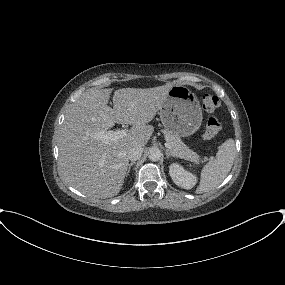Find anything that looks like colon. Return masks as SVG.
Instances as JSON below:
<instances>
[{
	"label": "colon",
	"mask_w": 285,
	"mask_h": 285,
	"mask_svg": "<svg viewBox=\"0 0 285 285\" xmlns=\"http://www.w3.org/2000/svg\"><path fill=\"white\" fill-rule=\"evenodd\" d=\"M201 102L203 109L209 114L203 138L205 140H212L217 136L221 129V121L216 115V111L220 106V99L214 94L203 93Z\"/></svg>",
	"instance_id": "5ec220e1"
}]
</instances>
